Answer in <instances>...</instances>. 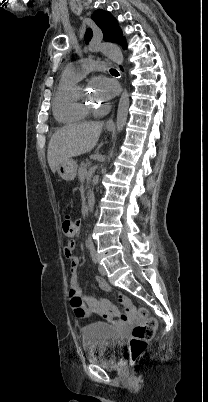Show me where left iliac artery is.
I'll list each match as a JSON object with an SVG mask.
<instances>
[{
  "mask_svg": "<svg viewBox=\"0 0 208 402\" xmlns=\"http://www.w3.org/2000/svg\"><path fill=\"white\" fill-rule=\"evenodd\" d=\"M92 260L94 263H97V256L96 254H92Z\"/></svg>",
  "mask_w": 208,
  "mask_h": 402,
  "instance_id": "1",
  "label": "left iliac artery"
}]
</instances>
